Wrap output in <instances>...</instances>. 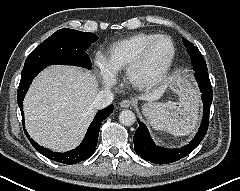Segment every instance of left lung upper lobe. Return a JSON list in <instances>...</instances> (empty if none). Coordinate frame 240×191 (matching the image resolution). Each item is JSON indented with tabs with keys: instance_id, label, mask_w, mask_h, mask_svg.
<instances>
[{
	"instance_id": "5c2ea615",
	"label": "left lung upper lobe",
	"mask_w": 240,
	"mask_h": 191,
	"mask_svg": "<svg viewBox=\"0 0 240 191\" xmlns=\"http://www.w3.org/2000/svg\"><path fill=\"white\" fill-rule=\"evenodd\" d=\"M184 45L187 47V52L191 57L193 70L194 71H207V65L204 58L197 47H195L191 42L182 38Z\"/></svg>"
}]
</instances>
